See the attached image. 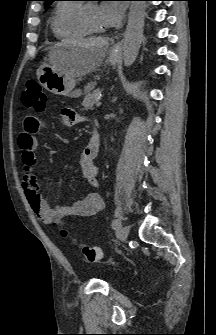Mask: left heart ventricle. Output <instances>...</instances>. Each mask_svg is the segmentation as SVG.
<instances>
[{"label":"left heart ventricle","mask_w":216,"mask_h":335,"mask_svg":"<svg viewBox=\"0 0 216 335\" xmlns=\"http://www.w3.org/2000/svg\"><path fill=\"white\" fill-rule=\"evenodd\" d=\"M85 9H86L88 19L90 23L92 24V26L95 27L96 29H101V30L104 29L101 23V20H100L98 5H95V4L87 5Z\"/></svg>","instance_id":"b2bd125f"}]
</instances>
